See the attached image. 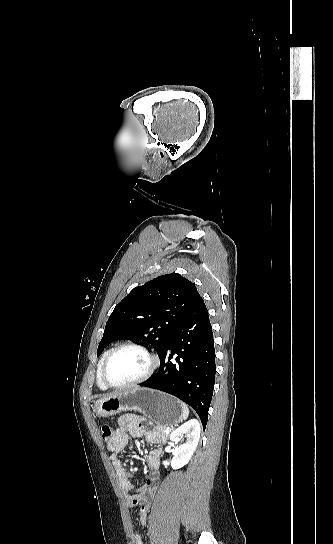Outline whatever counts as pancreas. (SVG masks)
<instances>
[{
	"instance_id": "1",
	"label": "pancreas",
	"mask_w": 333,
	"mask_h": 544,
	"mask_svg": "<svg viewBox=\"0 0 333 544\" xmlns=\"http://www.w3.org/2000/svg\"><path fill=\"white\" fill-rule=\"evenodd\" d=\"M154 433L157 434L163 441H167L168 434L165 433V427L163 426H156L154 428Z\"/></svg>"
}]
</instances>
